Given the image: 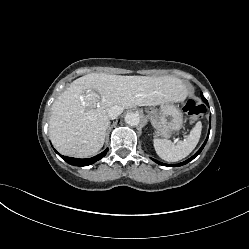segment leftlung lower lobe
<instances>
[{
  "label": "left lung lower lobe",
  "mask_w": 249,
  "mask_h": 249,
  "mask_svg": "<svg viewBox=\"0 0 249 249\" xmlns=\"http://www.w3.org/2000/svg\"><path fill=\"white\" fill-rule=\"evenodd\" d=\"M201 97H202V100L208 105L207 100L205 99V97H204L202 94H201ZM209 129H210V128H209ZM208 136H209V134H208ZM208 136H207L205 142L203 143V145L201 146V148H200V149H199L191 158L185 160L184 162H181V163H179V164H164V163H161V162H159V161H157V160H155V159H152V160H153L154 162L160 164V165H163V166L175 167V166H182V165H185V164H187L188 162H190L191 160H193L197 155L200 154V152L202 151V149L204 148V146H205V144H206V142H207Z\"/></svg>",
  "instance_id": "obj_1"
}]
</instances>
